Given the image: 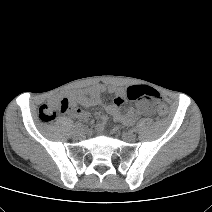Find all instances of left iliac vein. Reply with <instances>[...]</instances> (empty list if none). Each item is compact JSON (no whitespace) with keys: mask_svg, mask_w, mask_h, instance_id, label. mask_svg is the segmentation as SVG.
<instances>
[{"mask_svg":"<svg viewBox=\"0 0 212 212\" xmlns=\"http://www.w3.org/2000/svg\"><path fill=\"white\" fill-rule=\"evenodd\" d=\"M123 140L132 142L136 139V135L132 131H127L122 134Z\"/></svg>","mask_w":212,"mask_h":212,"instance_id":"obj_1","label":"left iliac vein"}]
</instances>
